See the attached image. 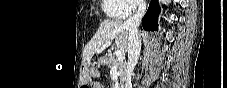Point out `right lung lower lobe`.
<instances>
[{
	"label": "right lung lower lobe",
	"mask_w": 227,
	"mask_h": 88,
	"mask_svg": "<svg viewBox=\"0 0 227 88\" xmlns=\"http://www.w3.org/2000/svg\"><path fill=\"white\" fill-rule=\"evenodd\" d=\"M160 13L158 0H151L148 10L142 19V25L145 30H157V19Z\"/></svg>",
	"instance_id": "98d812e1"
}]
</instances>
